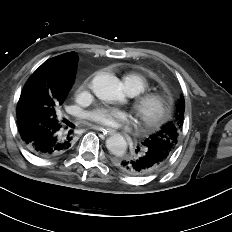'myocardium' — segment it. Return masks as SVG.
<instances>
[{"label":"myocardium","instance_id":"myocardium-1","mask_svg":"<svg viewBox=\"0 0 232 232\" xmlns=\"http://www.w3.org/2000/svg\"><path fill=\"white\" fill-rule=\"evenodd\" d=\"M132 108L139 124L149 129L166 119L169 99L161 92H145L134 100Z\"/></svg>","mask_w":232,"mask_h":232}]
</instances>
